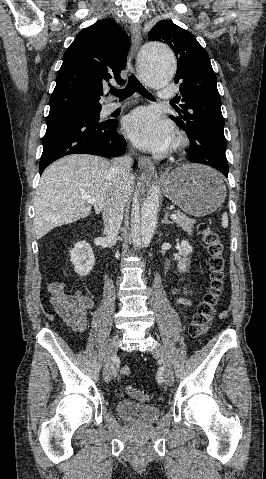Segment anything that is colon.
<instances>
[{"label": "colon", "mask_w": 266, "mask_h": 479, "mask_svg": "<svg viewBox=\"0 0 266 479\" xmlns=\"http://www.w3.org/2000/svg\"><path fill=\"white\" fill-rule=\"evenodd\" d=\"M198 233L209 254L210 286L203 300L198 304L196 313L189 327V334L194 339L201 338L211 325L223 294L226 263L224 243L218 232L209 224L202 222L198 225ZM130 373V368L127 366L122 367L120 370V375L123 378L129 377ZM127 392L133 398L142 402H148L151 399V395L147 391L127 387Z\"/></svg>", "instance_id": "obj_1"}]
</instances>
